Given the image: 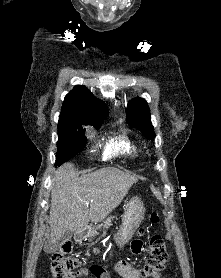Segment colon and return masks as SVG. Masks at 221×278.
<instances>
[{"label":"colon","instance_id":"obj_1","mask_svg":"<svg viewBox=\"0 0 221 278\" xmlns=\"http://www.w3.org/2000/svg\"><path fill=\"white\" fill-rule=\"evenodd\" d=\"M158 220L159 217L156 213L150 215V221L152 223H157ZM71 249L72 244L65 242L53 254L50 267L53 278H69L72 274L84 269L89 270L92 274L98 271V265L85 268L80 261L68 257L67 254L71 252ZM147 253L146 264L140 269V276L141 278H157L159 273L164 269L168 258L164 239L159 235L151 236L148 242Z\"/></svg>","mask_w":221,"mask_h":278}]
</instances>
